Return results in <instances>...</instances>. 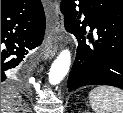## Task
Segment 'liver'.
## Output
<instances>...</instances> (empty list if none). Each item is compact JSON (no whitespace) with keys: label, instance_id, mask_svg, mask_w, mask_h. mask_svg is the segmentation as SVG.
Masks as SVG:
<instances>
[{"label":"liver","instance_id":"liver-1","mask_svg":"<svg viewBox=\"0 0 123 113\" xmlns=\"http://www.w3.org/2000/svg\"><path fill=\"white\" fill-rule=\"evenodd\" d=\"M24 108L26 107L18 91L11 87L1 88V113H24Z\"/></svg>","mask_w":123,"mask_h":113}]
</instances>
